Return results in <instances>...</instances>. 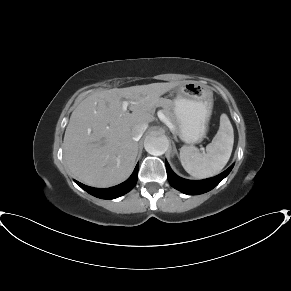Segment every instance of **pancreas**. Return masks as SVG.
<instances>
[{
    "label": "pancreas",
    "instance_id": "1",
    "mask_svg": "<svg viewBox=\"0 0 291 291\" xmlns=\"http://www.w3.org/2000/svg\"><path fill=\"white\" fill-rule=\"evenodd\" d=\"M157 107H162V113L165 117L172 123L174 128H177V120L175 115L172 112L173 102L166 98H160L156 103Z\"/></svg>",
    "mask_w": 291,
    "mask_h": 291
}]
</instances>
